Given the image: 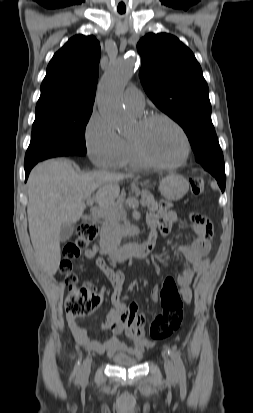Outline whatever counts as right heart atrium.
<instances>
[{
    "instance_id": "right-heart-atrium-1",
    "label": "right heart atrium",
    "mask_w": 253,
    "mask_h": 413,
    "mask_svg": "<svg viewBox=\"0 0 253 413\" xmlns=\"http://www.w3.org/2000/svg\"><path fill=\"white\" fill-rule=\"evenodd\" d=\"M85 143L91 162L98 168L116 165L123 147L122 137L98 112H93L85 127Z\"/></svg>"
}]
</instances>
